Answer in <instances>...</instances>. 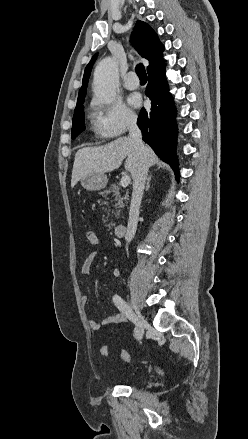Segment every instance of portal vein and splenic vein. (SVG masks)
I'll return each instance as SVG.
<instances>
[{"label":"portal vein and splenic vein","mask_w":248,"mask_h":439,"mask_svg":"<svg viewBox=\"0 0 248 439\" xmlns=\"http://www.w3.org/2000/svg\"><path fill=\"white\" fill-rule=\"evenodd\" d=\"M130 184V177L128 175H125L121 178L120 185L122 187H127Z\"/></svg>","instance_id":"1"}]
</instances>
